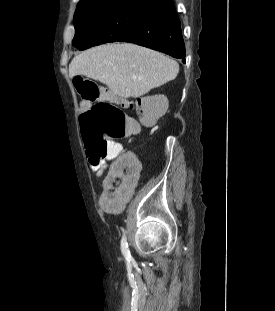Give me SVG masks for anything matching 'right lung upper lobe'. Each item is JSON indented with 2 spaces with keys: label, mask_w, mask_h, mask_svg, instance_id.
I'll return each mask as SVG.
<instances>
[{
  "label": "right lung upper lobe",
  "mask_w": 275,
  "mask_h": 311,
  "mask_svg": "<svg viewBox=\"0 0 275 311\" xmlns=\"http://www.w3.org/2000/svg\"><path fill=\"white\" fill-rule=\"evenodd\" d=\"M81 1H84V0H81ZM152 1H158V2L162 3L163 5L170 3V0H152Z\"/></svg>",
  "instance_id": "obj_1"
}]
</instances>
